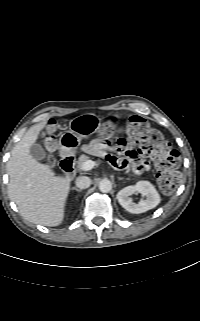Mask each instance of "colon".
Instances as JSON below:
<instances>
[{"label":"colon","instance_id":"5ec220e1","mask_svg":"<svg viewBox=\"0 0 200 321\" xmlns=\"http://www.w3.org/2000/svg\"><path fill=\"white\" fill-rule=\"evenodd\" d=\"M53 131V125H49L44 136V145L49 151L56 147ZM124 132L129 141L133 142L145 157H149L155 162L159 188L166 194L172 193L180 182L178 171L180 155L178 151L172 148L159 130L153 128L141 117L130 118L124 127ZM103 134L108 137L110 130L103 128ZM49 161L53 162L51 158Z\"/></svg>","mask_w":200,"mask_h":321}]
</instances>
